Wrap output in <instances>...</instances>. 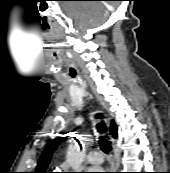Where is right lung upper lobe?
<instances>
[{
  "instance_id": "cb5924a9",
  "label": "right lung upper lobe",
  "mask_w": 170,
  "mask_h": 173,
  "mask_svg": "<svg viewBox=\"0 0 170 173\" xmlns=\"http://www.w3.org/2000/svg\"><path fill=\"white\" fill-rule=\"evenodd\" d=\"M111 134L113 135V137H117V127L114 124V122H112V126H111ZM60 143V139L57 138L55 140H53L46 148L45 150L42 152V155L38 161V165L36 168V172L35 173H47L46 169L48 167V164L50 162L52 153L55 151L56 147L59 145Z\"/></svg>"
}]
</instances>
